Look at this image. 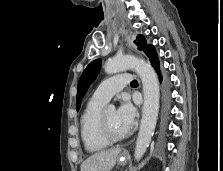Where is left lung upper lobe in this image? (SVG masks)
Instances as JSON below:
<instances>
[{
    "label": "left lung upper lobe",
    "instance_id": "5c2ea615",
    "mask_svg": "<svg viewBox=\"0 0 223 171\" xmlns=\"http://www.w3.org/2000/svg\"><path fill=\"white\" fill-rule=\"evenodd\" d=\"M134 42L138 46V49L143 50L144 53H146L149 47L151 46V45H147L146 40L142 35H138ZM100 67H101V60L96 59L92 61L83 71L78 82V91H77V98H76L77 111L80 108L81 101L84 95L86 94L89 86L96 79V76L100 70Z\"/></svg>",
    "mask_w": 223,
    "mask_h": 171
}]
</instances>
